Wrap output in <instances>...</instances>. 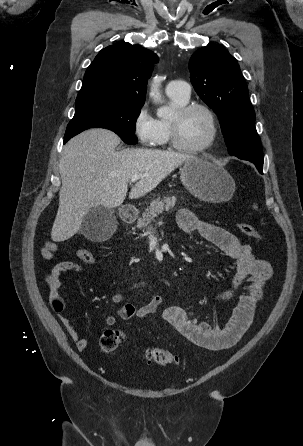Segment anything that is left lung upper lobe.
<instances>
[{
  "label": "left lung upper lobe",
  "mask_w": 303,
  "mask_h": 446,
  "mask_svg": "<svg viewBox=\"0 0 303 446\" xmlns=\"http://www.w3.org/2000/svg\"><path fill=\"white\" fill-rule=\"evenodd\" d=\"M189 70L195 91L218 116L229 154L263 166L255 112L236 59L224 47L209 45L192 55Z\"/></svg>",
  "instance_id": "5c2ea615"
}]
</instances>
